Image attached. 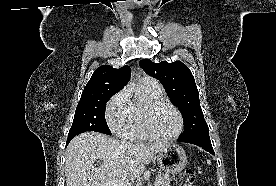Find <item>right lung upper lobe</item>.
<instances>
[{"instance_id":"right-lung-upper-lobe-1","label":"right lung upper lobe","mask_w":276,"mask_h":186,"mask_svg":"<svg viewBox=\"0 0 276 186\" xmlns=\"http://www.w3.org/2000/svg\"><path fill=\"white\" fill-rule=\"evenodd\" d=\"M130 76L131 69L127 65L119 69L110 65L100 66L94 71L83 92L100 90L119 92L127 84Z\"/></svg>"}]
</instances>
